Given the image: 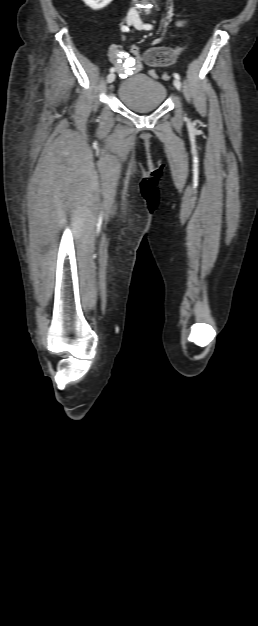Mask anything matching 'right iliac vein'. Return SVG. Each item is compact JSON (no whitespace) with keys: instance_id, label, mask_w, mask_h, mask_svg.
I'll use <instances>...</instances> for the list:
<instances>
[{"instance_id":"obj_1","label":"right iliac vein","mask_w":258,"mask_h":626,"mask_svg":"<svg viewBox=\"0 0 258 626\" xmlns=\"http://www.w3.org/2000/svg\"><path fill=\"white\" fill-rule=\"evenodd\" d=\"M135 21H136V19H135L134 17H132V16H128V17L126 18V23H127L128 25H133V24L135 23ZM115 78H116L115 73H110V74L107 76V82H108V83H112V82H114Z\"/></svg>"}]
</instances>
